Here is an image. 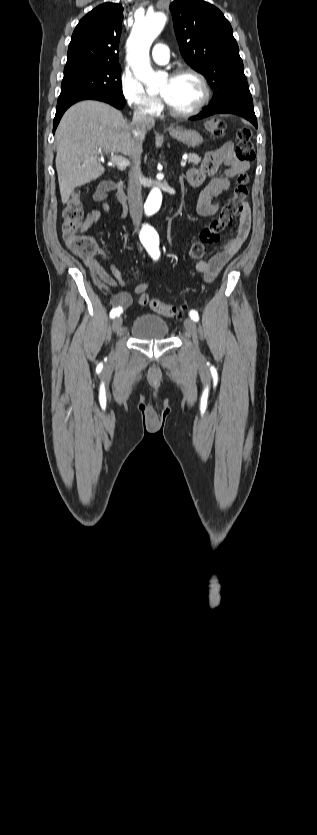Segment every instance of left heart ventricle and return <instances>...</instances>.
Listing matches in <instances>:
<instances>
[{
	"label": "left heart ventricle",
	"mask_w": 317,
	"mask_h": 835,
	"mask_svg": "<svg viewBox=\"0 0 317 835\" xmlns=\"http://www.w3.org/2000/svg\"><path fill=\"white\" fill-rule=\"evenodd\" d=\"M160 94L175 110L192 109L201 97L198 81L189 75L167 78L160 86Z\"/></svg>",
	"instance_id": "b2bd125f"
}]
</instances>
